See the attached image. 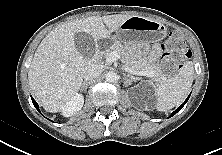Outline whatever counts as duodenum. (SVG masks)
Segmentation results:
<instances>
[{"label": "duodenum", "instance_id": "obj_1", "mask_svg": "<svg viewBox=\"0 0 222 155\" xmlns=\"http://www.w3.org/2000/svg\"><path fill=\"white\" fill-rule=\"evenodd\" d=\"M100 51H101V46H100V44H97L95 53H94V55L92 57V62L93 63H97L99 61Z\"/></svg>", "mask_w": 222, "mask_h": 155}]
</instances>
